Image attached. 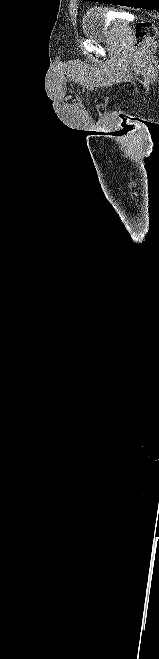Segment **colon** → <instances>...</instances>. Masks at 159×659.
<instances>
[{
  "mask_svg": "<svg viewBox=\"0 0 159 659\" xmlns=\"http://www.w3.org/2000/svg\"><path fill=\"white\" fill-rule=\"evenodd\" d=\"M157 34L158 29L152 21L142 20L138 22L132 41L133 48L135 50L143 49L149 41L156 38Z\"/></svg>",
  "mask_w": 159,
  "mask_h": 659,
  "instance_id": "colon-1",
  "label": "colon"
}]
</instances>
